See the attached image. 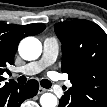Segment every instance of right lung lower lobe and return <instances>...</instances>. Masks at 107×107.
Returning <instances> with one entry per match:
<instances>
[{"label":"right lung lower lobe","instance_id":"right-lung-lower-lobe-1","mask_svg":"<svg viewBox=\"0 0 107 107\" xmlns=\"http://www.w3.org/2000/svg\"><path fill=\"white\" fill-rule=\"evenodd\" d=\"M38 88L36 80H29L25 85L11 80L0 88V107H20L25 99L37 94Z\"/></svg>","mask_w":107,"mask_h":107}]
</instances>
